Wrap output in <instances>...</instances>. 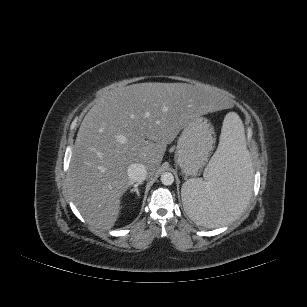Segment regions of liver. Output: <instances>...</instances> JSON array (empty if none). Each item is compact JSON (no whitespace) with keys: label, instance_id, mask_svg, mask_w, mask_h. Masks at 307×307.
<instances>
[{"label":"liver","instance_id":"1","mask_svg":"<svg viewBox=\"0 0 307 307\" xmlns=\"http://www.w3.org/2000/svg\"><path fill=\"white\" fill-rule=\"evenodd\" d=\"M223 94L186 83H137L111 90L85 115L68 170L71 198L93 227L109 230L131 185L128 167L152 176L186 123L227 109Z\"/></svg>","mask_w":307,"mask_h":307}]
</instances>
